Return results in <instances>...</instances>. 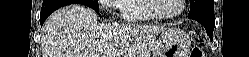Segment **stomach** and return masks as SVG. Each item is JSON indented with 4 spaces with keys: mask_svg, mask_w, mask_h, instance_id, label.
Returning a JSON list of instances; mask_svg holds the SVG:
<instances>
[{
    "mask_svg": "<svg viewBox=\"0 0 249 57\" xmlns=\"http://www.w3.org/2000/svg\"><path fill=\"white\" fill-rule=\"evenodd\" d=\"M191 40L189 36L179 29H166L162 31L153 57H189Z\"/></svg>",
    "mask_w": 249,
    "mask_h": 57,
    "instance_id": "obj_1",
    "label": "stomach"
}]
</instances>
